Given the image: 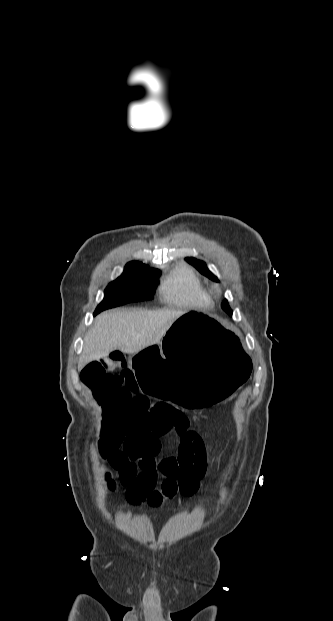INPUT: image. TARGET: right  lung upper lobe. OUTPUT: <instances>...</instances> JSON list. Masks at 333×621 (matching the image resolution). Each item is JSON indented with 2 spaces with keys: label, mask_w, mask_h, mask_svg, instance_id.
<instances>
[{
  "label": "right lung upper lobe",
  "mask_w": 333,
  "mask_h": 621,
  "mask_svg": "<svg viewBox=\"0 0 333 621\" xmlns=\"http://www.w3.org/2000/svg\"><path fill=\"white\" fill-rule=\"evenodd\" d=\"M127 265H138V266L148 267L147 265H145V264H143L141 262H138V261H131V262L127 263Z\"/></svg>",
  "instance_id": "cb5924a9"
}]
</instances>
